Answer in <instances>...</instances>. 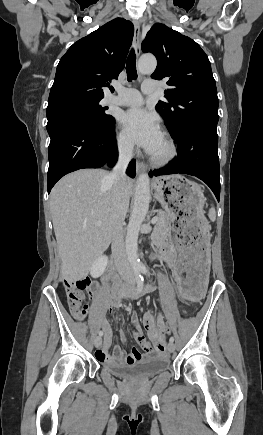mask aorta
Returning a JSON list of instances; mask_svg holds the SVG:
<instances>
[{
  "mask_svg": "<svg viewBox=\"0 0 263 435\" xmlns=\"http://www.w3.org/2000/svg\"><path fill=\"white\" fill-rule=\"evenodd\" d=\"M157 66L156 58L152 55H144L138 61V71L147 75L154 72ZM150 202V182L147 173H141L137 178L134 206L127 226L125 237V249L128 261L134 272H138L142 264L138 258V235L145 219Z\"/></svg>",
  "mask_w": 263,
  "mask_h": 435,
  "instance_id": "aorta-1",
  "label": "aorta"
}]
</instances>
